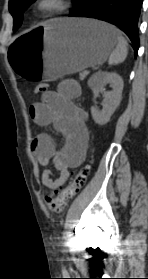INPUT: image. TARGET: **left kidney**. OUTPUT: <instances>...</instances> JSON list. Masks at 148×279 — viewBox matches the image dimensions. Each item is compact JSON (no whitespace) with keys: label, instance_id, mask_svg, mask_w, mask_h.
Returning a JSON list of instances; mask_svg holds the SVG:
<instances>
[{"label":"left kidney","instance_id":"obj_1","mask_svg":"<svg viewBox=\"0 0 148 279\" xmlns=\"http://www.w3.org/2000/svg\"><path fill=\"white\" fill-rule=\"evenodd\" d=\"M110 84L112 91L105 92L104 87ZM94 97L98 96L99 92H103V108L101 111L96 108H91V115L96 124L105 125L109 122L111 116L119 106L122 99L123 80L117 73L103 72L98 74L90 83Z\"/></svg>","mask_w":148,"mask_h":279}]
</instances>
